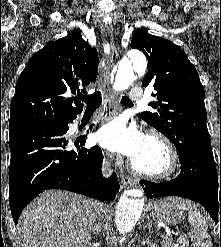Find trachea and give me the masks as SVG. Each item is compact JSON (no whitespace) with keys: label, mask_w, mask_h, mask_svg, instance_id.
Returning <instances> with one entry per match:
<instances>
[{"label":"trachea","mask_w":221,"mask_h":247,"mask_svg":"<svg viewBox=\"0 0 221 247\" xmlns=\"http://www.w3.org/2000/svg\"><path fill=\"white\" fill-rule=\"evenodd\" d=\"M87 104L86 110H96L102 103L101 92H96L90 96L80 97ZM121 103L125 106L132 107L133 102L126 96H122Z\"/></svg>","instance_id":"1"}]
</instances>
